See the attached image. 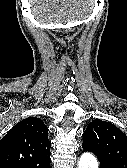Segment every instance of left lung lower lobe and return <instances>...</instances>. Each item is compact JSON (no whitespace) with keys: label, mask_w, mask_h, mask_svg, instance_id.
<instances>
[{"label":"left lung lower lobe","mask_w":127,"mask_h":168,"mask_svg":"<svg viewBox=\"0 0 127 168\" xmlns=\"http://www.w3.org/2000/svg\"><path fill=\"white\" fill-rule=\"evenodd\" d=\"M85 151H88V150H85ZM97 158L100 161V167L101 168H112L102 158H100L99 156H97Z\"/></svg>","instance_id":"obj_1"}]
</instances>
